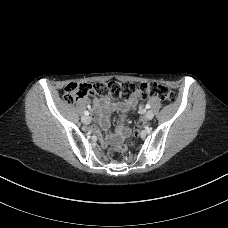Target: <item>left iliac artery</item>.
<instances>
[{"instance_id":"1","label":"left iliac artery","mask_w":228,"mask_h":228,"mask_svg":"<svg viewBox=\"0 0 228 228\" xmlns=\"http://www.w3.org/2000/svg\"><path fill=\"white\" fill-rule=\"evenodd\" d=\"M149 108H150V105H149V104H147V105H146V109H149Z\"/></svg>"}]
</instances>
